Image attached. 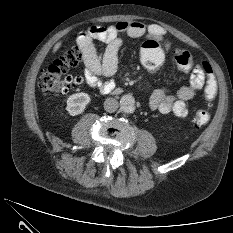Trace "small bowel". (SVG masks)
<instances>
[{"label": "small bowel", "mask_w": 233, "mask_h": 233, "mask_svg": "<svg viewBox=\"0 0 233 233\" xmlns=\"http://www.w3.org/2000/svg\"><path fill=\"white\" fill-rule=\"evenodd\" d=\"M122 35L130 38L163 39L160 26L156 24L147 26L137 20L120 21L106 27L93 25L77 37V44L83 52L85 82L101 93H110L115 88L113 80L103 78H109L117 71L118 53L123 43ZM94 40L104 44L102 54L96 50ZM204 86H206V75L198 63L190 73L188 84L176 90L168 87L154 90L149 98V106L162 114L172 113L179 118H185L189 112L187 101Z\"/></svg>", "instance_id": "1"}]
</instances>
